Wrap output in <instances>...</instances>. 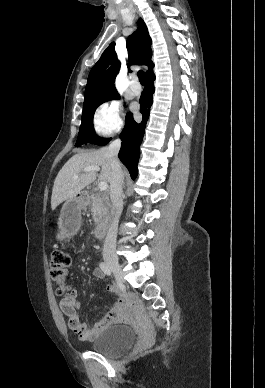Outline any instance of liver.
<instances>
[{
    "label": "liver",
    "mask_w": 265,
    "mask_h": 388,
    "mask_svg": "<svg viewBox=\"0 0 265 388\" xmlns=\"http://www.w3.org/2000/svg\"><path fill=\"white\" fill-rule=\"evenodd\" d=\"M107 152L108 148H101V150L88 152V154H75L66 162L55 178L51 196L52 210H55L65 200L76 198L81 190L95 182L97 176L101 182H110L111 164L106 156ZM89 166H101L100 174H96V172L81 174L82 170L89 168ZM74 176H78V178L74 180Z\"/></svg>",
    "instance_id": "obj_1"
}]
</instances>
